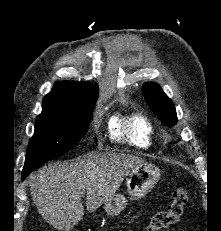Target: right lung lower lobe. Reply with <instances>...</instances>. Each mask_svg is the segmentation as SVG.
<instances>
[{
	"instance_id": "1",
	"label": "right lung lower lobe",
	"mask_w": 221,
	"mask_h": 231,
	"mask_svg": "<svg viewBox=\"0 0 221 231\" xmlns=\"http://www.w3.org/2000/svg\"><path fill=\"white\" fill-rule=\"evenodd\" d=\"M44 164H41L39 166L30 168V169H23V171H22V178L21 179L24 180L32 171L36 170L37 168H39L40 166H42Z\"/></svg>"
}]
</instances>
